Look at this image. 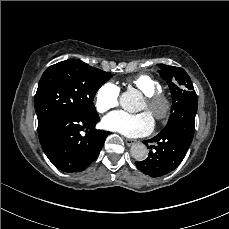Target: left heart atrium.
I'll list each match as a JSON object with an SVG mask.
<instances>
[{"label":"left heart atrium","instance_id":"obj_1","mask_svg":"<svg viewBox=\"0 0 229 229\" xmlns=\"http://www.w3.org/2000/svg\"><path fill=\"white\" fill-rule=\"evenodd\" d=\"M102 125L107 130L128 137H141L153 130L154 120L148 112L129 114L124 111H115L104 117Z\"/></svg>","mask_w":229,"mask_h":229}]
</instances>
